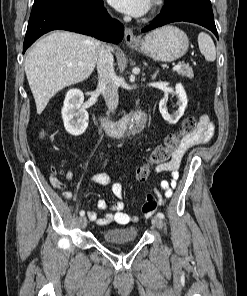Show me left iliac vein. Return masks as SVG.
Instances as JSON below:
<instances>
[{
    "mask_svg": "<svg viewBox=\"0 0 247 296\" xmlns=\"http://www.w3.org/2000/svg\"><path fill=\"white\" fill-rule=\"evenodd\" d=\"M151 222H152V224H153L156 228H158V229H162V228H163V221H162L161 218H159V217H154V218H152Z\"/></svg>",
    "mask_w": 247,
    "mask_h": 296,
    "instance_id": "1",
    "label": "left iliac vein"
}]
</instances>
